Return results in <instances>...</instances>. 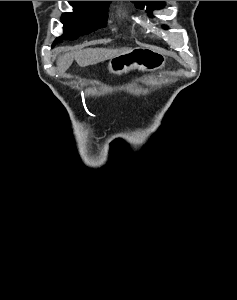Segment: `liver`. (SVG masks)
Masks as SVG:
<instances>
[{
	"label": "liver",
	"instance_id": "1",
	"mask_svg": "<svg viewBox=\"0 0 237 300\" xmlns=\"http://www.w3.org/2000/svg\"><path fill=\"white\" fill-rule=\"evenodd\" d=\"M129 47H123V49H79V51H73V53H65L62 57H59L57 65L59 69L67 71L73 61H76L79 67H88V65H97L101 61H107V59H113L117 55H123L128 53Z\"/></svg>",
	"mask_w": 237,
	"mask_h": 300
}]
</instances>
